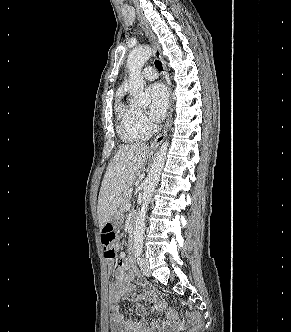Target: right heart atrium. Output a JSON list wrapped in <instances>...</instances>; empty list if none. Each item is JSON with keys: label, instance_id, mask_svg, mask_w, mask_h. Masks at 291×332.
Wrapping results in <instances>:
<instances>
[{"label": "right heart atrium", "instance_id": "right-heart-atrium-1", "mask_svg": "<svg viewBox=\"0 0 291 332\" xmlns=\"http://www.w3.org/2000/svg\"><path fill=\"white\" fill-rule=\"evenodd\" d=\"M137 124L140 128L148 131L151 129V123L148 120L147 116L145 115V113L142 110H138V114H137Z\"/></svg>", "mask_w": 291, "mask_h": 332}]
</instances>
